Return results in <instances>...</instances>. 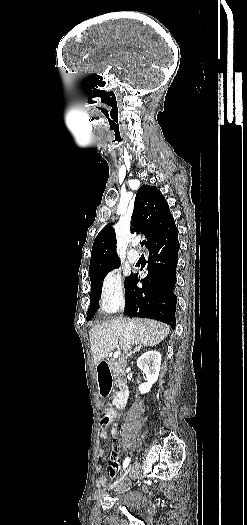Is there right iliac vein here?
<instances>
[{"label": "right iliac vein", "instance_id": "right-iliac-vein-1", "mask_svg": "<svg viewBox=\"0 0 247 525\" xmlns=\"http://www.w3.org/2000/svg\"><path fill=\"white\" fill-rule=\"evenodd\" d=\"M131 469V465L125 470V472L122 474V476L120 477V479H118L116 482H114L112 485H110V487L108 488V490H111L113 488H115L125 477L126 475L128 474V472L130 471Z\"/></svg>", "mask_w": 247, "mask_h": 525}]
</instances>
